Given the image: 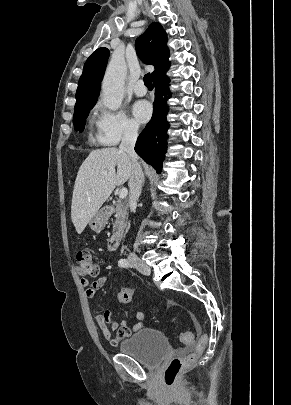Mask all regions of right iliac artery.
<instances>
[{
	"instance_id": "1",
	"label": "right iliac artery",
	"mask_w": 291,
	"mask_h": 405,
	"mask_svg": "<svg viewBox=\"0 0 291 405\" xmlns=\"http://www.w3.org/2000/svg\"><path fill=\"white\" fill-rule=\"evenodd\" d=\"M118 265L123 268L131 267L130 263L126 259L119 260Z\"/></svg>"
}]
</instances>
